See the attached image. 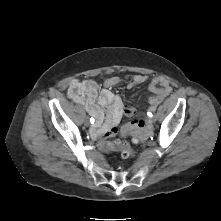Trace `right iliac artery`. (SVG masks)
Returning a JSON list of instances; mask_svg holds the SVG:
<instances>
[{"mask_svg":"<svg viewBox=\"0 0 221 221\" xmlns=\"http://www.w3.org/2000/svg\"><path fill=\"white\" fill-rule=\"evenodd\" d=\"M90 122L93 124L95 122L94 118H90Z\"/></svg>","mask_w":221,"mask_h":221,"instance_id":"1","label":"right iliac artery"}]
</instances>
